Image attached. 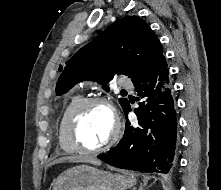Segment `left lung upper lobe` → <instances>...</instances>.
I'll return each instance as SVG.
<instances>
[{"mask_svg":"<svg viewBox=\"0 0 221 190\" xmlns=\"http://www.w3.org/2000/svg\"><path fill=\"white\" fill-rule=\"evenodd\" d=\"M161 57L162 45L149 25L137 16H126L106 28L66 62L56 85V94H64L84 80L96 81L109 91L107 83L115 75L127 76L135 82ZM119 103L124 110L129 101L120 98Z\"/></svg>","mask_w":221,"mask_h":190,"instance_id":"left-lung-upper-lobe-1","label":"left lung upper lobe"}]
</instances>
